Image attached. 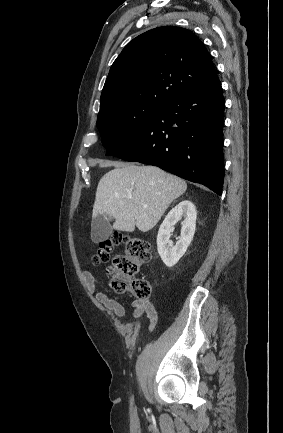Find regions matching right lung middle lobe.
I'll list each match as a JSON object with an SVG mask.
<instances>
[{
    "label": "right lung middle lobe",
    "mask_w": 283,
    "mask_h": 433,
    "mask_svg": "<svg viewBox=\"0 0 283 433\" xmlns=\"http://www.w3.org/2000/svg\"><path fill=\"white\" fill-rule=\"evenodd\" d=\"M164 105L151 103L124 104L98 114L97 128L106 155H116L126 149L146 124Z\"/></svg>",
    "instance_id": "obj_1"
}]
</instances>
